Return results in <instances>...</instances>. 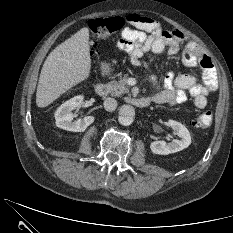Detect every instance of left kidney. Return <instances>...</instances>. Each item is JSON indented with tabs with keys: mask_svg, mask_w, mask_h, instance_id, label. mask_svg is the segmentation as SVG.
<instances>
[{
	"mask_svg": "<svg viewBox=\"0 0 233 233\" xmlns=\"http://www.w3.org/2000/svg\"><path fill=\"white\" fill-rule=\"evenodd\" d=\"M168 125L177 132L180 139H173L170 143L165 141H154L150 144V149L154 154L168 155L187 148L191 144L189 130L181 123L169 120Z\"/></svg>",
	"mask_w": 233,
	"mask_h": 233,
	"instance_id": "obj_1",
	"label": "left kidney"
}]
</instances>
